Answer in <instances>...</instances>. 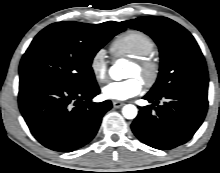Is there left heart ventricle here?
<instances>
[{"label": "left heart ventricle", "mask_w": 220, "mask_h": 173, "mask_svg": "<svg viewBox=\"0 0 220 173\" xmlns=\"http://www.w3.org/2000/svg\"><path fill=\"white\" fill-rule=\"evenodd\" d=\"M127 77L131 78V77H140V72L138 70V68L134 65V64H130L129 68H128V73H127Z\"/></svg>", "instance_id": "1"}]
</instances>
